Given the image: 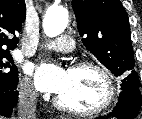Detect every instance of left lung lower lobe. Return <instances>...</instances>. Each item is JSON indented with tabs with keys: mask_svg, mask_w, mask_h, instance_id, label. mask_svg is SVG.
<instances>
[{
	"mask_svg": "<svg viewBox=\"0 0 142 119\" xmlns=\"http://www.w3.org/2000/svg\"><path fill=\"white\" fill-rule=\"evenodd\" d=\"M142 105V98L139 88L131 87L122 92L119 95L118 103L107 117H117L119 119H131L138 115ZM104 119V117H98L97 119Z\"/></svg>",
	"mask_w": 142,
	"mask_h": 119,
	"instance_id": "left-lung-lower-lobe-1",
	"label": "left lung lower lobe"
}]
</instances>
